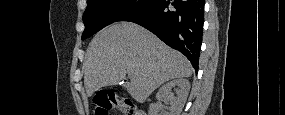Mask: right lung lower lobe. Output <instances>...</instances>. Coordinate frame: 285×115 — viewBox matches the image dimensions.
<instances>
[{"instance_id":"98d812e1","label":"right lung lower lobe","mask_w":285,"mask_h":115,"mask_svg":"<svg viewBox=\"0 0 285 115\" xmlns=\"http://www.w3.org/2000/svg\"><path fill=\"white\" fill-rule=\"evenodd\" d=\"M204 0H155L122 21L143 26L183 53L198 71L204 24Z\"/></svg>"}]
</instances>
